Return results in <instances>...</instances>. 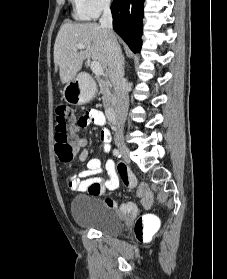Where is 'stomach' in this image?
<instances>
[{
    "instance_id": "obj_1",
    "label": "stomach",
    "mask_w": 227,
    "mask_h": 279,
    "mask_svg": "<svg viewBox=\"0 0 227 279\" xmlns=\"http://www.w3.org/2000/svg\"><path fill=\"white\" fill-rule=\"evenodd\" d=\"M96 95V86L91 81L81 82L79 78H73L66 83L63 89V98L72 105H81L89 102Z\"/></svg>"
}]
</instances>
